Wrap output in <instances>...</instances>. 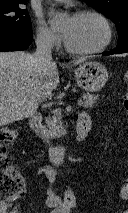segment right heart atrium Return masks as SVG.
Instances as JSON below:
<instances>
[{
  "instance_id": "1",
  "label": "right heart atrium",
  "mask_w": 128,
  "mask_h": 213,
  "mask_svg": "<svg viewBox=\"0 0 128 213\" xmlns=\"http://www.w3.org/2000/svg\"><path fill=\"white\" fill-rule=\"evenodd\" d=\"M36 41L44 48L57 47L60 44V37L38 22L36 28Z\"/></svg>"
}]
</instances>
